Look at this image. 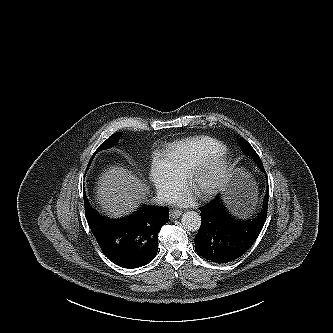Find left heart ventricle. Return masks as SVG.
Listing matches in <instances>:
<instances>
[{
	"mask_svg": "<svg viewBox=\"0 0 333 333\" xmlns=\"http://www.w3.org/2000/svg\"><path fill=\"white\" fill-rule=\"evenodd\" d=\"M213 180H214V172L213 171L205 172L194 181L191 190L193 192L203 191L204 189L209 187V185L212 183Z\"/></svg>",
	"mask_w": 333,
	"mask_h": 333,
	"instance_id": "obj_1",
	"label": "left heart ventricle"
}]
</instances>
